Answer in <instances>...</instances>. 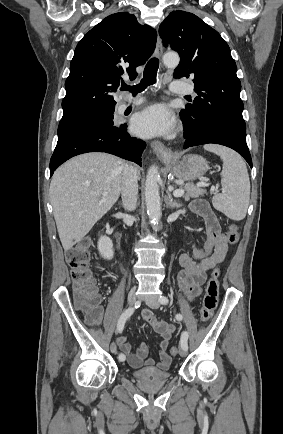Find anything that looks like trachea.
I'll use <instances>...</instances> for the list:
<instances>
[{"label": "trachea", "instance_id": "trachea-1", "mask_svg": "<svg viewBox=\"0 0 283 434\" xmlns=\"http://www.w3.org/2000/svg\"><path fill=\"white\" fill-rule=\"evenodd\" d=\"M159 68V60L157 58H151L145 66L143 79L139 84L135 86L122 85L121 90L130 91L134 96L137 93L144 91L148 86L156 83L157 71Z\"/></svg>", "mask_w": 283, "mask_h": 434}]
</instances>
